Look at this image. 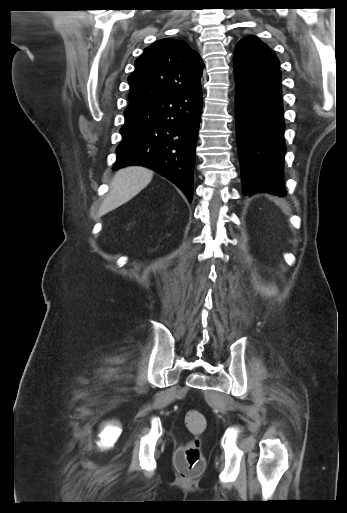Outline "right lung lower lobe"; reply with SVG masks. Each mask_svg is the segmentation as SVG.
Masks as SVG:
<instances>
[{"label":"right lung lower lobe","mask_w":347,"mask_h":513,"mask_svg":"<svg viewBox=\"0 0 347 513\" xmlns=\"http://www.w3.org/2000/svg\"><path fill=\"white\" fill-rule=\"evenodd\" d=\"M201 111V89L129 106L114 169L149 167L171 180L191 202Z\"/></svg>","instance_id":"obj_1"}]
</instances>
